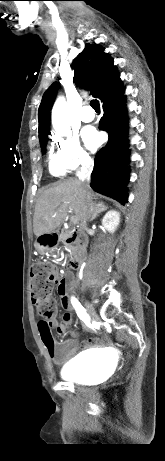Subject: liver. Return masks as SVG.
I'll return each instance as SVG.
<instances>
[{
    "instance_id": "liver-1",
    "label": "liver",
    "mask_w": 165,
    "mask_h": 461,
    "mask_svg": "<svg viewBox=\"0 0 165 461\" xmlns=\"http://www.w3.org/2000/svg\"><path fill=\"white\" fill-rule=\"evenodd\" d=\"M93 196L90 189L76 179L58 182L44 190L35 206L34 234L40 237L55 230L68 212L74 213L80 229L85 230L87 220L97 214L103 204L94 202Z\"/></svg>"
}]
</instances>
